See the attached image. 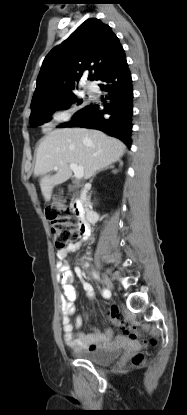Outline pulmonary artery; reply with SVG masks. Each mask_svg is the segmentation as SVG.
I'll use <instances>...</instances> for the list:
<instances>
[{
	"label": "pulmonary artery",
	"mask_w": 187,
	"mask_h": 415,
	"mask_svg": "<svg viewBox=\"0 0 187 415\" xmlns=\"http://www.w3.org/2000/svg\"><path fill=\"white\" fill-rule=\"evenodd\" d=\"M87 89H88V91L93 92L94 91V86L93 85H88Z\"/></svg>",
	"instance_id": "1"
}]
</instances>
